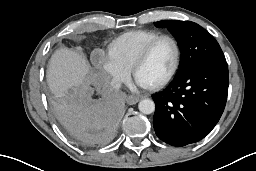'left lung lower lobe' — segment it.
I'll return each instance as SVG.
<instances>
[{"mask_svg":"<svg viewBox=\"0 0 256 171\" xmlns=\"http://www.w3.org/2000/svg\"><path fill=\"white\" fill-rule=\"evenodd\" d=\"M227 93L226 61L197 64L177 74L165 90L152 96L157 136L178 147L201 140L219 121Z\"/></svg>","mask_w":256,"mask_h":171,"instance_id":"1","label":"left lung lower lobe"}]
</instances>
